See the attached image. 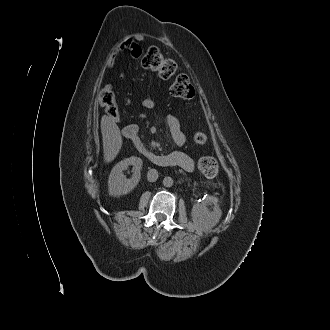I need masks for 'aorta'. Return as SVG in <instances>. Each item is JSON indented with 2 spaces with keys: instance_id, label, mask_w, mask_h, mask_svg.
Segmentation results:
<instances>
[{
  "instance_id": "aorta-1",
  "label": "aorta",
  "mask_w": 330,
  "mask_h": 330,
  "mask_svg": "<svg viewBox=\"0 0 330 330\" xmlns=\"http://www.w3.org/2000/svg\"><path fill=\"white\" fill-rule=\"evenodd\" d=\"M173 183H174V181H173V179L171 177H165L163 179V185L165 187H172Z\"/></svg>"
}]
</instances>
